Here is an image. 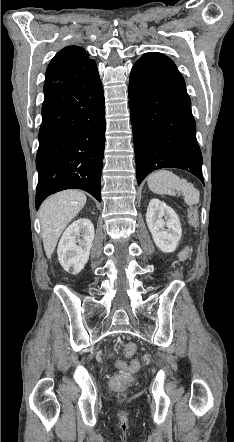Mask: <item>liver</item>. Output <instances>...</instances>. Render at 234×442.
Here are the masks:
<instances>
[{"label": "liver", "mask_w": 234, "mask_h": 442, "mask_svg": "<svg viewBox=\"0 0 234 442\" xmlns=\"http://www.w3.org/2000/svg\"><path fill=\"white\" fill-rule=\"evenodd\" d=\"M87 198L77 190H65L47 198L40 208L44 250L50 259L65 227L85 206Z\"/></svg>", "instance_id": "obj_1"}]
</instances>
